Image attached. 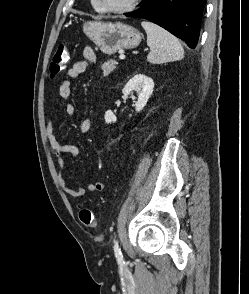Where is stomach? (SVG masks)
Wrapping results in <instances>:
<instances>
[{"label": "stomach", "mask_w": 249, "mask_h": 294, "mask_svg": "<svg viewBox=\"0 0 249 294\" xmlns=\"http://www.w3.org/2000/svg\"><path fill=\"white\" fill-rule=\"evenodd\" d=\"M86 36L105 54L111 55L119 49L134 48L141 42L140 32L127 24L88 21L83 26Z\"/></svg>", "instance_id": "obj_1"}]
</instances>
